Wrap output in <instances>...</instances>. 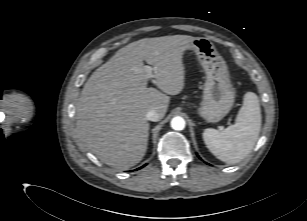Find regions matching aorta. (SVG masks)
<instances>
[{"instance_id":"1","label":"aorta","mask_w":307,"mask_h":221,"mask_svg":"<svg viewBox=\"0 0 307 221\" xmlns=\"http://www.w3.org/2000/svg\"><path fill=\"white\" fill-rule=\"evenodd\" d=\"M185 124V120L180 116H176L171 120V127L176 131L183 130L185 128Z\"/></svg>"}]
</instances>
